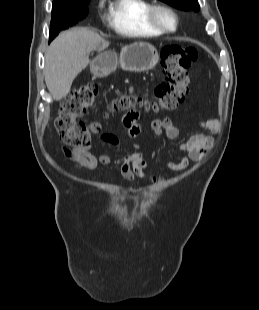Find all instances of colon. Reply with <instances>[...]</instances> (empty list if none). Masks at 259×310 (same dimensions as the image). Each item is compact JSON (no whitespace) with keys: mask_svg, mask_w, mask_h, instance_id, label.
<instances>
[{"mask_svg":"<svg viewBox=\"0 0 259 310\" xmlns=\"http://www.w3.org/2000/svg\"><path fill=\"white\" fill-rule=\"evenodd\" d=\"M197 59L198 51L194 47L166 45L160 56L164 81L154 88L151 98L123 95L114 101L111 109L115 111L175 109L188 93L189 69ZM97 92L93 84L82 85L74 89L63 101L55 125L61 141L66 145L75 148L88 146L91 137L98 132L96 124L80 120V117L94 104Z\"/></svg>","mask_w":259,"mask_h":310,"instance_id":"colon-1","label":"colon"}]
</instances>
